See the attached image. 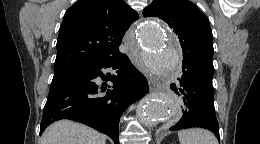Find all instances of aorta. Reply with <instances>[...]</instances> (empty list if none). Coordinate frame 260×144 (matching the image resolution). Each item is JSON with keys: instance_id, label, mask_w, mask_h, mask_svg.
<instances>
[{"instance_id": "aorta-1", "label": "aorta", "mask_w": 260, "mask_h": 144, "mask_svg": "<svg viewBox=\"0 0 260 144\" xmlns=\"http://www.w3.org/2000/svg\"><path fill=\"white\" fill-rule=\"evenodd\" d=\"M137 39L147 57L140 58L144 69L157 76H169L179 64V44L156 19H147L139 26ZM138 56L137 51L133 50ZM139 121L146 126L164 122L172 124L178 118L175 100L166 93L144 97L137 106Z\"/></svg>"}]
</instances>
